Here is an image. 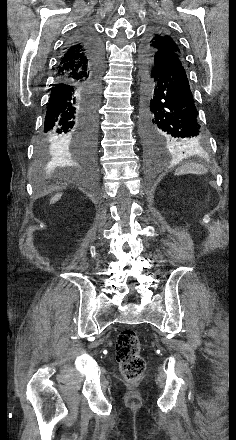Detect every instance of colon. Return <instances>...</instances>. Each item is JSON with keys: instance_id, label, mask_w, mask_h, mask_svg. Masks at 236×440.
Segmentation results:
<instances>
[{"instance_id": "colon-1", "label": "colon", "mask_w": 236, "mask_h": 440, "mask_svg": "<svg viewBox=\"0 0 236 440\" xmlns=\"http://www.w3.org/2000/svg\"><path fill=\"white\" fill-rule=\"evenodd\" d=\"M115 350L124 377L128 380L139 378L145 370V361L140 354V341L136 332L131 329L122 330Z\"/></svg>"}]
</instances>
